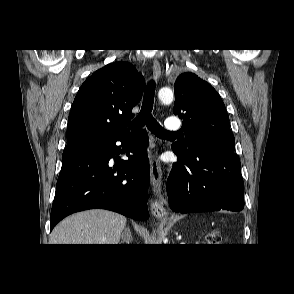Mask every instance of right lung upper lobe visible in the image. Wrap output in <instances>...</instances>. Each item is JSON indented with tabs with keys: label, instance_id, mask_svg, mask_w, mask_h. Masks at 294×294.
Wrapping results in <instances>:
<instances>
[{
	"label": "right lung upper lobe",
	"instance_id": "cb5924a9",
	"mask_svg": "<svg viewBox=\"0 0 294 294\" xmlns=\"http://www.w3.org/2000/svg\"><path fill=\"white\" fill-rule=\"evenodd\" d=\"M144 78L128 62L97 70L80 87L68 118L67 142H86L129 130L131 109L140 101Z\"/></svg>",
	"mask_w": 294,
	"mask_h": 294
}]
</instances>
